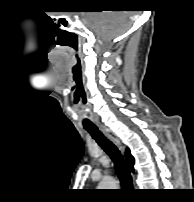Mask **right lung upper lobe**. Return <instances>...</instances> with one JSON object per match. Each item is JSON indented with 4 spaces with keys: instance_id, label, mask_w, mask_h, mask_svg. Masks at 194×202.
<instances>
[{
    "instance_id": "obj_1",
    "label": "right lung upper lobe",
    "mask_w": 194,
    "mask_h": 202,
    "mask_svg": "<svg viewBox=\"0 0 194 202\" xmlns=\"http://www.w3.org/2000/svg\"><path fill=\"white\" fill-rule=\"evenodd\" d=\"M126 159H127L128 163L130 165L131 171H133L134 158L130 154V150L129 149L126 150Z\"/></svg>"
}]
</instances>
